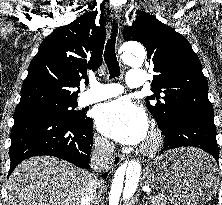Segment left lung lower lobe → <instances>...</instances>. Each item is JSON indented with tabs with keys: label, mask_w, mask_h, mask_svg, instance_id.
I'll return each instance as SVG.
<instances>
[{
	"label": "left lung lower lobe",
	"mask_w": 222,
	"mask_h": 205,
	"mask_svg": "<svg viewBox=\"0 0 222 205\" xmlns=\"http://www.w3.org/2000/svg\"><path fill=\"white\" fill-rule=\"evenodd\" d=\"M162 132L165 145L159 154L178 147H196L208 152L213 157L212 163H218L214 114L198 110L185 111L175 117L170 128Z\"/></svg>",
	"instance_id": "obj_1"
}]
</instances>
